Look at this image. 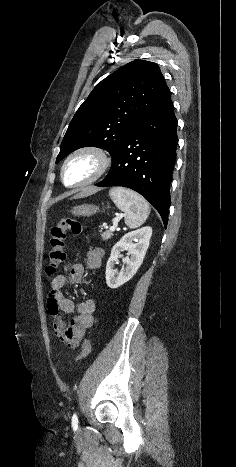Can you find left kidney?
Segmentation results:
<instances>
[{
	"label": "left kidney",
	"mask_w": 236,
	"mask_h": 467,
	"mask_svg": "<svg viewBox=\"0 0 236 467\" xmlns=\"http://www.w3.org/2000/svg\"><path fill=\"white\" fill-rule=\"evenodd\" d=\"M152 228L149 226L125 234L112 250L106 266V283L111 289H116L129 281L141 266L149 247ZM124 250L129 256L124 259L126 266L118 272L114 265Z\"/></svg>",
	"instance_id": "1"
}]
</instances>
